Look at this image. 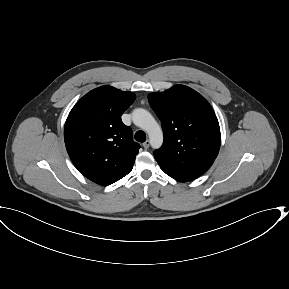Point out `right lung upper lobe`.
<instances>
[{"label":"right lung upper lobe","mask_w":289,"mask_h":289,"mask_svg":"<svg viewBox=\"0 0 289 289\" xmlns=\"http://www.w3.org/2000/svg\"><path fill=\"white\" fill-rule=\"evenodd\" d=\"M134 100L132 92L101 86L83 96L67 117V152L76 168L97 184H112L133 168L140 145L121 115Z\"/></svg>","instance_id":"cb5924a9"}]
</instances>
